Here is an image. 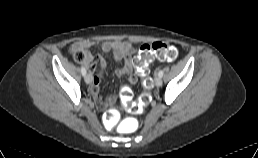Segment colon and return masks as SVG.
I'll list each match as a JSON object with an SVG mask.
<instances>
[{
  "mask_svg": "<svg viewBox=\"0 0 258 158\" xmlns=\"http://www.w3.org/2000/svg\"><path fill=\"white\" fill-rule=\"evenodd\" d=\"M73 57L76 61L84 63L87 59V53L82 49H73ZM177 48L169 42L157 41L152 44H144L140 47L137 57L133 60L138 75L142 78L143 92L138 102H132V93L128 88L121 91V99L125 108L134 114L142 113L150 102V90L152 80L149 76V64L153 59L160 61H173L177 58ZM107 120L116 124L119 120L117 111L111 109L106 114Z\"/></svg>",
  "mask_w": 258,
  "mask_h": 158,
  "instance_id": "obj_1",
  "label": "colon"
}]
</instances>
